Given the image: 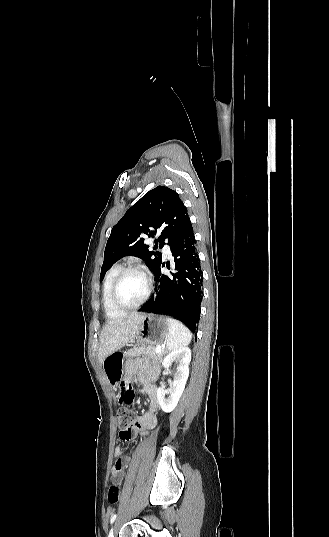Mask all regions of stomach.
<instances>
[{
    "label": "stomach",
    "instance_id": "1",
    "mask_svg": "<svg viewBox=\"0 0 329 537\" xmlns=\"http://www.w3.org/2000/svg\"><path fill=\"white\" fill-rule=\"evenodd\" d=\"M169 336L168 318L155 314L143 315L135 339L139 343H145L151 346L163 343ZM123 354L115 351L108 355L102 367L109 382L114 385L118 384L122 378Z\"/></svg>",
    "mask_w": 329,
    "mask_h": 537
}]
</instances>
